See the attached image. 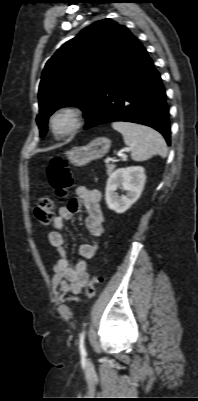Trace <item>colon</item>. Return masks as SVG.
<instances>
[{"label": "colon", "mask_w": 198, "mask_h": 401, "mask_svg": "<svg viewBox=\"0 0 198 401\" xmlns=\"http://www.w3.org/2000/svg\"><path fill=\"white\" fill-rule=\"evenodd\" d=\"M46 175L56 195L60 198L66 197L68 190L73 185V178L67 163L59 157L52 158L46 167ZM54 210L55 202L48 197H43L35 207V217L42 225H48L53 219ZM99 281V277L94 275L87 283L86 295L88 298L95 296Z\"/></svg>", "instance_id": "5ec220e1"}]
</instances>
